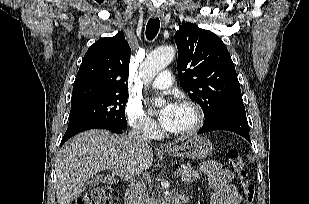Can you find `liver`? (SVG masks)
I'll list each match as a JSON object with an SVG mask.
<instances>
[{"mask_svg": "<svg viewBox=\"0 0 309 204\" xmlns=\"http://www.w3.org/2000/svg\"><path fill=\"white\" fill-rule=\"evenodd\" d=\"M153 151L134 145L125 135L106 130L85 131L67 141L56 158L58 204H71L87 181L103 170L121 168L131 177L152 166Z\"/></svg>", "mask_w": 309, "mask_h": 204, "instance_id": "1", "label": "liver"}]
</instances>
